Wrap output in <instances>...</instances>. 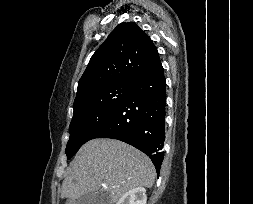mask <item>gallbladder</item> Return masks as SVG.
Masks as SVG:
<instances>
[{
    "label": "gallbladder",
    "instance_id": "obj_1",
    "mask_svg": "<svg viewBox=\"0 0 253 204\" xmlns=\"http://www.w3.org/2000/svg\"><path fill=\"white\" fill-rule=\"evenodd\" d=\"M76 204H110L109 193L105 191L88 193L80 196Z\"/></svg>",
    "mask_w": 253,
    "mask_h": 204
}]
</instances>
